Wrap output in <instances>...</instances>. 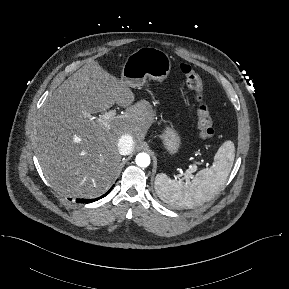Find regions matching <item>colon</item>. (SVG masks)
Returning <instances> with one entry per match:
<instances>
[{
  "instance_id": "1",
  "label": "colon",
  "mask_w": 289,
  "mask_h": 289,
  "mask_svg": "<svg viewBox=\"0 0 289 289\" xmlns=\"http://www.w3.org/2000/svg\"><path fill=\"white\" fill-rule=\"evenodd\" d=\"M180 70L185 77L186 85L194 91L199 105L196 111L197 127L203 139H210L214 135L213 118L208 106L203 102V83L199 74L186 62L180 64Z\"/></svg>"
}]
</instances>
